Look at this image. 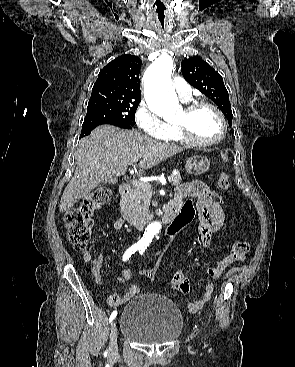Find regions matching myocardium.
Segmentation results:
<instances>
[{"instance_id": "obj_1", "label": "myocardium", "mask_w": 295, "mask_h": 367, "mask_svg": "<svg viewBox=\"0 0 295 367\" xmlns=\"http://www.w3.org/2000/svg\"><path fill=\"white\" fill-rule=\"evenodd\" d=\"M202 107H208L210 109H212L216 115L218 116L220 123H221V127H222V131L220 136L215 139V140H211V141H202L197 139L194 134L192 133L190 127L185 124V123H176L175 126L177 127L178 131L180 132V134L183 136V138L190 144L195 145V146H199V147H210V146H215L217 144H219L220 142H222L224 140V138L226 137L227 134V123H226V119L222 113V111L214 104L208 102V101H196L193 103L188 104L185 107V112L187 113V115H191L193 114L196 110H198L199 108Z\"/></svg>"}]
</instances>
